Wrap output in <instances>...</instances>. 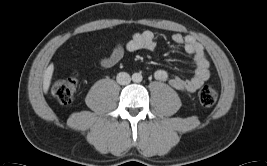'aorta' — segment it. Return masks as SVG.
Masks as SVG:
<instances>
[{
  "label": "aorta",
  "instance_id": "obj_1",
  "mask_svg": "<svg viewBox=\"0 0 267 166\" xmlns=\"http://www.w3.org/2000/svg\"><path fill=\"white\" fill-rule=\"evenodd\" d=\"M132 79L134 82H141L142 81V75L140 73H134L132 76Z\"/></svg>",
  "mask_w": 267,
  "mask_h": 166
}]
</instances>
